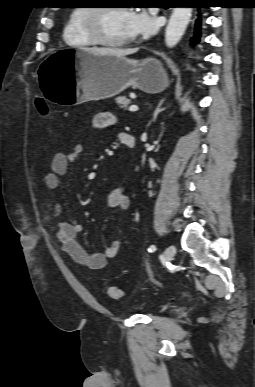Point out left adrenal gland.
<instances>
[{"label": "left adrenal gland", "instance_id": "1", "mask_svg": "<svg viewBox=\"0 0 255 387\" xmlns=\"http://www.w3.org/2000/svg\"><path fill=\"white\" fill-rule=\"evenodd\" d=\"M164 101H165V99H162V100L159 101L157 107L155 108V110L153 112V118H152L151 122H155L156 119H157L158 114L165 110V108H162V105H163Z\"/></svg>", "mask_w": 255, "mask_h": 387}]
</instances>
